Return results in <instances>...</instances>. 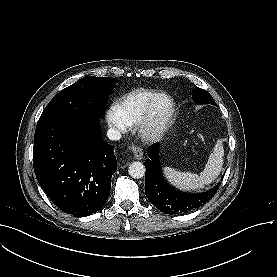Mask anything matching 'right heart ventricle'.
<instances>
[{"instance_id": "1", "label": "right heart ventricle", "mask_w": 277, "mask_h": 277, "mask_svg": "<svg viewBox=\"0 0 277 277\" xmlns=\"http://www.w3.org/2000/svg\"><path fill=\"white\" fill-rule=\"evenodd\" d=\"M155 95L152 90L137 89L119 99L115 107L120 112L125 123L128 126H133L142 120L148 104Z\"/></svg>"}]
</instances>
